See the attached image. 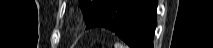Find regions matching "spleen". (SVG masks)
Listing matches in <instances>:
<instances>
[{"label":"spleen","mask_w":213,"mask_h":48,"mask_svg":"<svg viewBox=\"0 0 213 48\" xmlns=\"http://www.w3.org/2000/svg\"><path fill=\"white\" fill-rule=\"evenodd\" d=\"M114 48H128V47L120 42H116L114 44Z\"/></svg>","instance_id":"obj_1"}]
</instances>
